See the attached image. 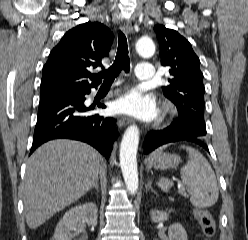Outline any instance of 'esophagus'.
Returning <instances> with one entry per match:
<instances>
[{
  "instance_id": "obj_1",
  "label": "esophagus",
  "mask_w": 248,
  "mask_h": 240,
  "mask_svg": "<svg viewBox=\"0 0 248 240\" xmlns=\"http://www.w3.org/2000/svg\"><path fill=\"white\" fill-rule=\"evenodd\" d=\"M122 29H123L124 33H126L128 35H130L133 32V26H132V22L130 19L124 20L123 25H122ZM130 122H131L130 119L124 118V117H120L117 120L119 127H124V126L130 124Z\"/></svg>"
}]
</instances>
